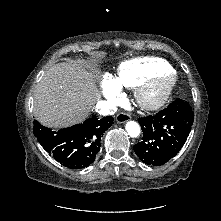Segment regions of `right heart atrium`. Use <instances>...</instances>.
Returning a JSON list of instances; mask_svg holds the SVG:
<instances>
[{
	"instance_id": "right-heart-atrium-1",
	"label": "right heart atrium",
	"mask_w": 221,
	"mask_h": 221,
	"mask_svg": "<svg viewBox=\"0 0 221 221\" xmlns=\"http://www.w3.org/2000/svg\"><path fill=\"white\" fill-rule=\"evenodd\" d=\"M101 87L103 95L111 104L118 102L121 96V89L112 77L108 75L104 76L101 82Z\"/></svg>"
}]
</instances>
